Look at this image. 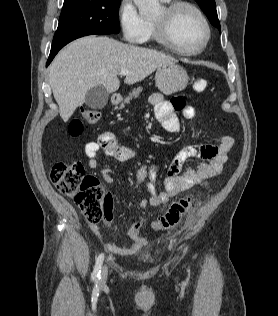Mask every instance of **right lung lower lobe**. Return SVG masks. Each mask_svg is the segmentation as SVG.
<instances>
[{
    "label": "right lung lower lobe",
    "mask_w": 278,
    "mask_h": 316,
    "mask_svg": "<svg viewBox=\"0 0 278 316\" xmlns=\"http://www.w3.org/2000/svg\"><path fill=\"white\" fill-rule=\"evenodd\" d=\"M69 43V42H68ZM67 43L61 45V46H58V47H54V48H51V51H50V55H49V58H48V61H47V64L46 66H48L50 64V62L53 60L54 56L58 53V51L63 47L65 46Z\"/></svg>",
    "instance_id": "right-lung-lower-lobe-1"
}]
</instances>
